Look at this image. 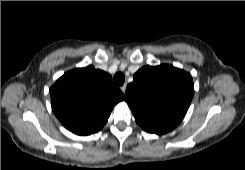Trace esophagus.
<instances>
[{"label": "esophagus", "instance_id": "34e87169", "mask_svg": "<svg viewBox=\"0 0 245 170\" xmlns=\"http://www.w3.org/2000/svg\"><path fill=\"white\" fill-rule=\"evenodd\" d=\"M121 90H122L123 94H125V91H126V84H124V85L121 87Z\"/></svg>", "mask_w": 245, "mask_h": 170}]
</instances>
